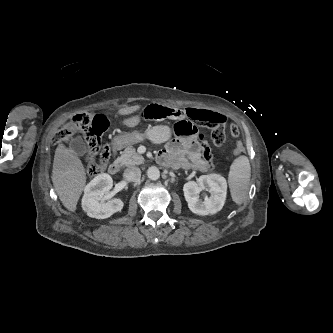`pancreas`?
I'll return each instance as SVG.
<instances>
[{
  "label": "pancreas",
  "instance_id": "obj_1",
  "mask_svg": "<svg viewBox=\"0 0 333 333\" xmlns=\"http://www.w3.org/2000/svg\"><path fill=\"white\" fill-rule=\"evenodd\" d=\"M117 161L122 166H135L142 164L144 162V158L142 155L136 152L135 148L132 146H128L121 154V156L117 159Z\"/></svg>",
  "mask_w": 333,
  "mask_h": 333
}]
</instances>
